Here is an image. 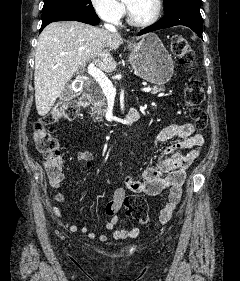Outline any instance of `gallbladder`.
I'll use <instances>...</instances> for the list:
<instances>
[{"instance_id":"bac80fb5","label":"gallbladder","mask_w":240,"mask_h":281,"mask_svg":"<svg viewBox=\"0 0 240 281\" xmlns=\"http://www.w3.org/2000/svg\"><path fill=\"white\" fill-rule=\"evenodd\" d=\"M72 90L71 88H66L61 96L62 100H68L71 98Z\"/></svg>"}]
</instances>
